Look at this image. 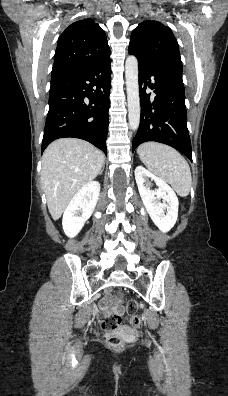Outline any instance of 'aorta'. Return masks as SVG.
Listing matches in <instances>:
<instances>
[{"label": "aorta", "instance_id": "762f6f07", "mask_svg": "<svg viewBox=\"0 0 228 396\" xmlns=\"http://www.w3.org/2000/svg\"><path fill=\"white\" fill-rule=\"evenodd\" d=\"M126 89L128 101L129 125L136 131L140 123V100L138 83V61L133 55L128 56L125 62Z\"/></svg>", "mask_w": 228, "mask_h": 396}]
</instances>
